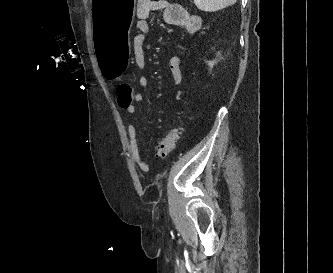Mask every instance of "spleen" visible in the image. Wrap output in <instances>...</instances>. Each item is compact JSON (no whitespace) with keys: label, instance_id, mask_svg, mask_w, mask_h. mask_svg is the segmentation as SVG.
<instances>
[{"label":"spleen","instance_id":"3e777b00","mask_svg":"<svg viewBox=\"0 0 333 273\" xmlns=\"http://www.w3.org/2000/svg\"><path fill=\"white\" fill-rule=\"evenodd\" d=\"M237 0H194L198 9L205 12H214L236 3Z\"/></svg>","mask_w":333,"mask_h":273}]
</instances>
